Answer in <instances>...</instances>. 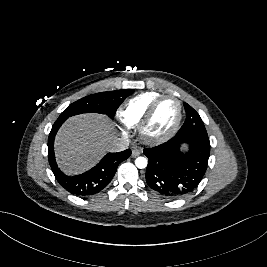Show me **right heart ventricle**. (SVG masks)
Returning a JSON list of instances; mask_svg holds the SVG:
<instances>
[{"label":"right heart ventricle","instance_id":"1","mask_svg":"<svg viewBox=\"0 0 267 267\" xmlns=\"http://www.w3.org/2000/svg\"><path fill=\"white\" fill-rule=\"evenodd\" d=\"M161 95L156 91H148L128 99L119 112L121 121L129 128H137L149 105Z\"/></svg>","mask_w":267,"mask_h":267}]
</instances>
